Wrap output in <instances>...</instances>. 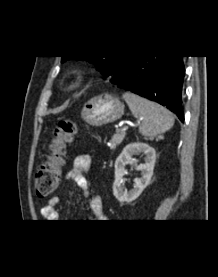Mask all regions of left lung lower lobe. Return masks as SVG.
I'll use <instances>...</instances> for the list:
<instances>
[{
    "label": "left lung lower lobe",
    "instance_id": "0a47b994",
    "mask_svg": "<svg viewBox=\"0 0 218 277\" xmlns=\"http://www.w3.org/2000/svg\"><path fill=\"white\" fill-rule=\"evenodd\" d=\"M183 56L135 55L110 82L120 88L155 101L183 118Z\"/></svg>",
    "mask_w": 218,
    "mask_h": 277
}]
</instances>
